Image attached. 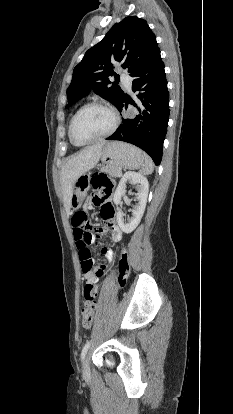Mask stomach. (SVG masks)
<instances>
[{
    "label": "stomach",
    "instance_id": "stomach-1",
    "mask_svg": "<svg viewBox=\"0 0 233 414\" xmlns=\"http://www.w3.org/2000/svg\"><path fill=\"white\" fill-rule=\"evenodd\" d=\"M143 154L140 149L130 144L108 142L103 147L101 160L105 164L104 168L138 169L144 163ZM89 177L88 173L83 172L78 177V180H76L71 200L72 208L81 205L86 194L84 189L89 185L87 182Z\"/></svg>",
    "mask_w": 233,
    "mask_h": 414
}]
</instances>
